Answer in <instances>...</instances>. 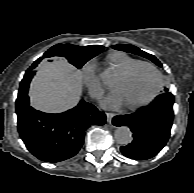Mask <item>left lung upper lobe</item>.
<instances>
[{
	"label": "left lung upper lobe",
	"mask_w": 194,
	"mask_h": 193,
	"mask_svg": "<svg viewBox=\"0 0 194 193\" xmlns=\"http://www.w3.org/2000/svg\"><path fill=\"white\" fill-rule=\"evenodd\" d=\"M114 49H117V50H122V51H125V52H130V53H133V54H137V55H140L142 57H145L147 59H150L152 62H154L156 65L158 66H162V64L159 62V60L149 54V53H146L142 50H140L138 47L136 46H133V45H126V44H120V45H113L112 46ZM165 92H168V89H165Z\"/></svg>",
	"instance_id": "5c2ea615"
}]
</instances>
